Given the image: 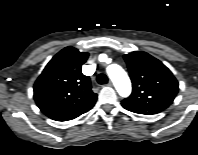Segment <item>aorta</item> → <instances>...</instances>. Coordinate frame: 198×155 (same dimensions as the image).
Instances as JSON below:
<instances>
[{
  "mask_svg": "<svg viewBox=\"0 0 198 155\" xmlns=\"http://www.w3.org/2000/svg\"><path fill=\"white\" fill-rule=\"evenodd\" d=\"M107 73L120 96L127 97L130 95L131 82L127 73L121 66L111 64L107 67Z\"/></svg>",
  "mask_w": 198,
  "mask_h": 155,
  "instance_id": "aorta-1",
  "label": "aorta"
}]
</instances>
